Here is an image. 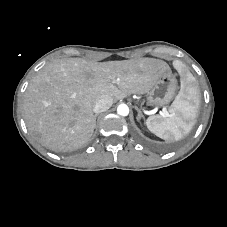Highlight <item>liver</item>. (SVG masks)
<instances>
[{"mask_svg":"<svg viewBox=\"0 0 227 227\" xmlns=\"http://www.w3.org/2000/svg\"><path fill=\"white\" fill-rule=\"evenodd\" d=\"M166 72H170L169 65L153 58L55 60L35 75L24 93L27 128L51 150L78 149L93 134V107L101 96L118 101L129 93L144 94Z\"/></svg>","mask_w":227,"mask_h":227,"instance_id":"liver-1","label":"liver"}]
</instances>
